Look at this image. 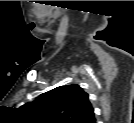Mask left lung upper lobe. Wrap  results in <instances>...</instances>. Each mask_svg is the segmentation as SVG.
<instances>
[{
	"label": "left lung upper lobe",
	"mask_w": 134,
	"mask_h": 123,
	"mask_svg": "<svg viewBox=\"0 0 134 123\" xmlns=\"http://www.w3.org/2000/svg\"><path fill=\"white\" fill-rule=\"evenodd\" d=\"M24 107L41 120L57 123L95 122L88 94L77 84L56 87Z\"/></svg>",
	"instance_id": "1"
}]
</instances>
